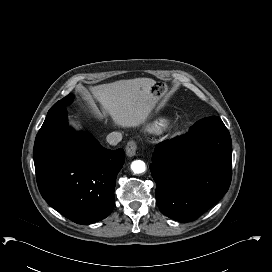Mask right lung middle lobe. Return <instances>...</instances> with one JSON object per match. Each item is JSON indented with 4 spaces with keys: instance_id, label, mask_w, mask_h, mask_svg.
Masks as SVG:
<instances>
[{
    "instance_id": "right-lung-middle-lobe-1",
    "label": "right lung middle lobe",
    "mask_w": 272,
    "mask_h": 272,
    "mask_svg": "<svg viewBox=\"0 0 272 272\" xmlns=\"http://www.w3.org/2000/svg\"><path fill=\"white\" fill-rule=\"evenodd\" d=\"M73 95L72 94H69L67 95L66 97H64L63 99H61L60 101H58L57 103H55L51 109L49 110V112H51L52 110L56 109V108H59V107H62V106H67L69 105L72 101H73ZM48 112V113H49Z\"/></svg>"
}]
</instances>
